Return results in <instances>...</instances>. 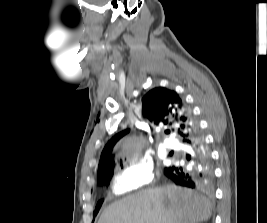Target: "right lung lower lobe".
I'll return each mask as SVG.
<instances>
[{
	"label": "right lung lower lobe",
	"mask_w": 267,
	"mask_h": 223,
	"mask_svg": "<svg viewBox=\"0 0 267 223\" xmlns=\"http://www.w3.org/2000/svg\"><path fill=\"white\" fill-rule=\"evenodd\" d=\"M187 146L188 167L174 165L165 168L164 174L176 185L208 189L214 180L210 151L197 123L192 136L183 141Z\"/></svg>",
	"instance_id": "98d812e1"
}]
</instances>
